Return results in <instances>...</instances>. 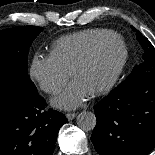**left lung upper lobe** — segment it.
<instances>
[{"label": "left lung upper lobe", "instance_id": "1", "mask_svg": "<svg viewBox=\"0 0 155 155\" xmlns=\"http://www.w3.org/2000/svg\"><path fill=\"white\" fill-rule=\"evenodd\" d=\"M132 29L136 32L137 40L143 49V61L141 64L134 67L126 80L133 79L137 76L145 74L146 72L155 70V48L138 30L134 27H132Z\"/></svg>", "mask_w": 155, "mask_h": 155}]
</instances>
